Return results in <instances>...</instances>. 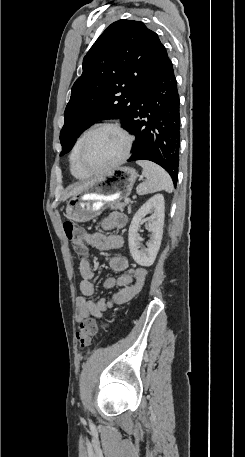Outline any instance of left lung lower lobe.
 I'll list each match as a JSON object with an SVG mask.
<instances>
[{
	"label": "left lung lower lobe",
	"instance_id": "1",
	"mask_svg": "<svg viewBox=\"0 0 245 457\" xmlns=\"http://www.w3.org/2000/svg\"><path fill=\"white\" fill-rule=\"evenodd\" d=\"M124 128L136 137L128 161L150 160L177 184L180 150V99L173 65L160 43L142 85V97Z\"/></svg>",
	"mask_w": 245,
	"mask_h": 457
}]
</instances>
